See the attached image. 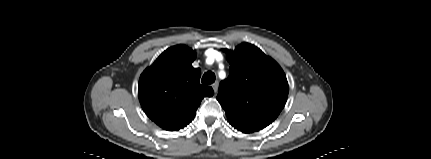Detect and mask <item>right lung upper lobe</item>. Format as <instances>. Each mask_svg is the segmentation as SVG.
Wrapping results in <instances>:
<instances>
[{
  "label": "right lung upper lobe",
  "mask_w": 431,
  "mask_h": 159,
  "mask_svg": "<svg viewBox=\"0 0 431 159\" xmlns=\"http://www.w3.org/2000/svg\"><path fill=\"white\" fill-rule=\"evenodd\" d=\"M196 54L177 45L165 50L139 79L138 94L147 116L168 131L187 126L211 87L200 85L201 71L193 68Z\"/></svg>",
  "instance_id": "cb5924a9"
}]
</instances>
